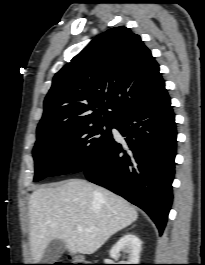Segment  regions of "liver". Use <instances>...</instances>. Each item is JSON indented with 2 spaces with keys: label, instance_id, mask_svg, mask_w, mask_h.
Instances as JSON below:
<instances>
[{
  "label": "liver",
  "instance_id": "obj_1",
  "mask_svg": "<svg viewBox=\"0 0 205 265\" xmlns=\"http://www.w3.org/2000/svg\"><path fill=\"white\" fill-rule=\"evenodd\" d=\"M137 218V210L125 199L85 180L40 187L29 199L33 261L40 262L53 239L63 240L71 253L93 254ZM78 226L85 230L78 232Z\"/></svg>",
  "mask_w": 205,
  "mask_h": 265
}]
</instances>
